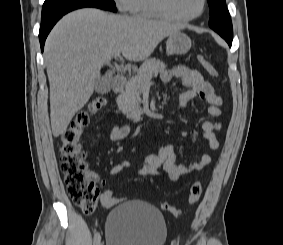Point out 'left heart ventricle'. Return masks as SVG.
<instances>
[{"label": "left heart ventricle", "instance_id": "1", "mask_svg": "<svg viewBox=\"0 0 283 245\" xmlns=\"http://www.w3.org/2000/svg\"><path fill=\"white\" fill-rule=\"evenodd\" d=\"M170 11L179 17L195 15L201 7V0H168Z\"/></svg>", "mask_w": 283, "mask_h": 245}]
</instances>
